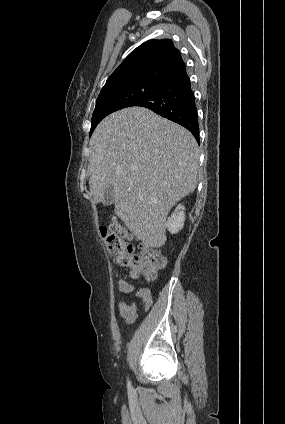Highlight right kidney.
<instances>
[{"label":"right kidney","instance_id":"ca27d5eb","mask_svg":"<svg viewBox=\"0 0 285 424\" xmlns=\"http://www.w3.org/2000/svg\"><path fill=\"white\" fill-rule=\"evenodd\" d=\"M184 210L185 207L180 204L168 218L166 226L171 234H176L183 228L185 221Z\"/></svg>","mask_w":285,"mask_h":424}]
</instances>
